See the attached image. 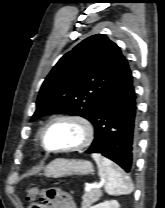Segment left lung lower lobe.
<instances>
[{
	"label": "left lung lower lobe",
	"instance_id": "obj_1",
	"mask_svg": "<svg viewBox=\"0 0 165 208\" xmlns=\"http://www.w3.org/2000/svg\"><path fill=\"white\" fill-rule=\"evenodd\" d=\"M92 123L95 138L86 153H100L126 172H131L137 148L138 117L136 94L128 63L107 89Z\"/></svg>",
	"mask_w": 165,
	"mask_h": 208
}]
</instances>
